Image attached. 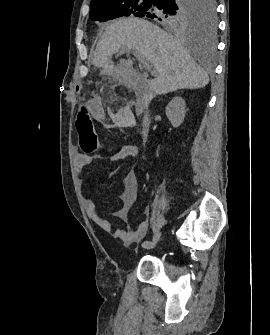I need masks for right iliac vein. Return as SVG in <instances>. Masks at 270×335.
I'll return each instance as SVG.
<instances>
[{"instance_id": "63e3f726", "label": "right iliac vein", "mask_w": 270, "mask_h": 335, "mask_svg": "<svg viewBox=\"0 0 270 335\" xmlns=\"http://www.w3.org/2000/svg\"><path fill=\"white\" fill-rule=\"evenodd\" d=\"M161 235H162V232L161 231H157L155 234H154V236H153V238H152V241H151V243H152V248L156 245V243L160 240V238H161ZM151 249V248H150Z\"/></svg>"}]
</instances>
